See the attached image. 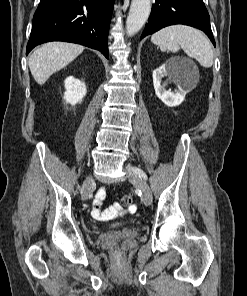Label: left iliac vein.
Wrapping results in <instances>:
<instances>
[{
    "instance_id": "left-iliac-vein-1",
    "label": "left iliac vein",
    "mask_w": 247,
    "mask_h": 296,
    "mask_svg": "<svg viewBox=\"0 0 247 296\" xmlns=\"http://www.w3.org/2000/svg\"><path fill=\"white\" fill-rule=\"evenodd\" d=\"M127 177L132 184L141 190L144 203L150 205L152 203V192L149 185L140 178V176L133 170V167L128 168Z\"/></svg>"
}]
</instances>
